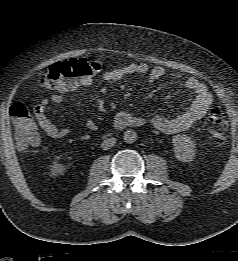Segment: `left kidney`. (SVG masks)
I'll list each match as a JSON object with an SVG mask.
<instances>
[{
    "mask_svg": "<svg viewBox=\"0 0 238 261\" xmlns=\"http://www.w3.org/2000/svg\"><path fill=\"white\" fill-rule=\"evenodd\" d=\"M176 159L182 162H191L195 157V144L191 137L178 134L172 139Z\"/></svg>",
    "mask_w": 238,
    "mask_h": 261,
    "instance_id": "1",
    "label": "left kidney"
}]
</instances>
